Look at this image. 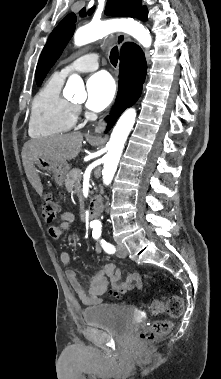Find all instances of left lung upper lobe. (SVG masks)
<instances>
[{
    "instance_id": "5c2ea615",
    "label": "left lung upper lobe",
    "mask_w": 221,
    "mask_h": 379,
    "mask_svg": "<svg viewBox=\"0 0 221 379\" xmlns=\"http://www.w3.org/2000/svg\"><path fill=\"white\" fill-rule=\"evenodd\" d=\"M141 4V0H108L105 13L117 17H136L141 19L147 11L144 6L141 7ZM93 10L94 8H91L88 14L91 15ZM79 14L84 16L86 14L85 8ZM76 20L77 17L74 13L68 14L50 34L36 68V83L38 86L41 85L49 69L54 65L72 37Z\"/></svg>"
}]
</instances>
